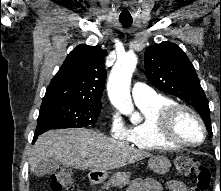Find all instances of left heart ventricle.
<instances>
[{
  "label": "left heart ventricle",
  "mask_w": 221,
  "mask_h": 191,
  "mask_svg": "<svg viewBox=\"0 0 221 191\" xmlns=\"http://www.w3.org/2000/svg\"><path fill=\"white\" fill-rule=\"evenodd\" d=\"M178 134L185 140L197 142L201 139V130L195 120L184 114L177 121Z\"/></svg>",
  "instance_id": "b2bd125f"
}]
</instances>
